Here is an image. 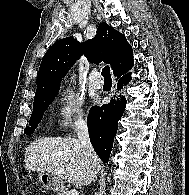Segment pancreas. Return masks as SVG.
<instances>
[{"label":"pancreas","mask_w":189,"mask_h":195,"mask_svg":"<svg viewBox=\"0 0 189 195\" xmlns=\"http://www.w3.org/2000/svg\"><path fill=\"white\" fill-rule=\"evenodd\" d=\"M68 193H69L68 188L62 187L58 195H68Z\"/></svg>","instance_id":"obj_1"}]
</instances>
